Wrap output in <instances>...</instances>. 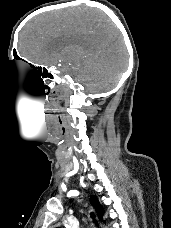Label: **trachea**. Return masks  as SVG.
Here are the masks:
<instances>
[{
  "label": "trachea",
  "instance_id": "3493384b",
  "mask_svg": "<svg viewBox=\"0 0 171 228\" xmlns=\"http://www.w3.org/2000/svg\"><path fill=\"white\" fill-rule=\"evenodd\" d=\"M91 217H92L93 219H94V217H95V215H94V213H93V212L91 213ZM94 223L96 224V226H98V225H97V221H96V220H94Z\"/></svg>",
  "mask_w": 171,
  "mask_h": 228
}]
</instances>
